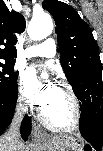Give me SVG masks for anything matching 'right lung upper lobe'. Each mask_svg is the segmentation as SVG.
I'll return each instance as SVG.
<instances>
[{"instance_id":"cb5924a9","label":"right lung upper lobe","mask_w":103,"mask_h":151,"mask_svg":"<svg viewBox=\"0 0 103 151\" xmlns=\"http://www.w3.org/2000/svg\"><path fill=\"white\" fill-rule=\"evenodd\" d=\"M24 29V18L15 11L10 12L3 0H0V62L14 63L17 56L15 34Z\"/></svg>"}]
</instances>
